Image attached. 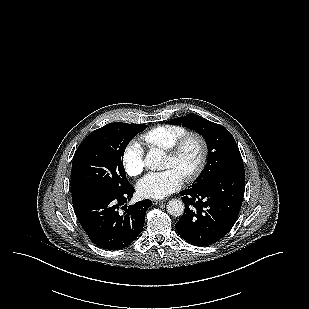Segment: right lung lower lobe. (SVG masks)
Returning <instances> with one entry per match:
<instances>
[{
	"label": "right lung lower lobe",
	"mask_w": 309,
	"mask_h": 309,
	"mask_svg": "<svg viewBox=\"0 0 309 309\" xmlns=\"http://www.w3.org/2000/svg\"><path fill=\"white\" fill-rule=\"evenodd\" d=\"M132 185L125 190L92 189L74 193L72 203L75 214L90 240L98 247L119 250L129 246L141 233L145 214L151 200L139 201L119 212V208L132 198Z\"/></svg>",
	"instance_id": "right-lung-lower-lobe-1"
}]
</instances>
